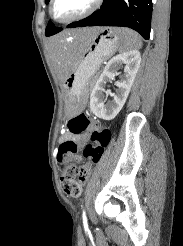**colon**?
Returning <instances> with one entry per match:
<instances>
[{
  "label": "colon",
  "instance_id": "colon-1",
  "mask_svg": "<svg viewBox=\"0 0 183 246\" xmlns=\"http://www.w3.org/2000/svg\"><path fill=\"white\" fill-rule=\"evenodd\" d=\"M90 118L80 114L69 122V130L74 134L84 133L90 126ZM111 137L107 128L96 129L91 133L92 143L84 149V156L87 162L83 165L78 158L72 156L76 153L77 145L73 141L61 143L58 152V160L62 165L61 185L68 197L77 198L81 195L82 186L89 179L92 168L103 156L104 149Z\"/></svg>",
  "mask_w": 183,
  "mask_h": 246
}]
</instances>
